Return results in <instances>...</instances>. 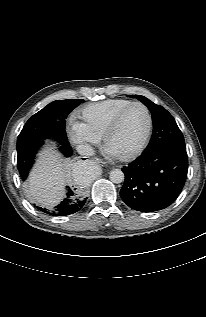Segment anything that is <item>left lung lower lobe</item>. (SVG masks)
I'll use <instances>...</instances> for the list:
<instances>
[{
    "label": "left lung lower lobe",
    "instance_id": "left-lung-lower-lobe-1",
    "mask_svg": "<svg viewBox=\"0 0 206 317\" xmlns=\"http://www.w3.org/2000/svg\"><path fill=\"white\" fill-rule=\"evenodd\" d=\"M122 200L132 209L153 212L168 207L180 194L188 172L186 150L165 147L146 151L123 167Z\"/></svg>",
    "mask_w": 206,
    "mask_h": 317
}]
</instances>
